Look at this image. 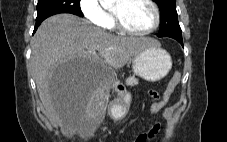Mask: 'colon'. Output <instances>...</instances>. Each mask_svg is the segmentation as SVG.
I'll return each mask as SVG.
<instances>
[{
  "label": "colon",
  "instance_id": "5ec220e1",
  "mask_svg": "<svg viewBox=\"0 0 227 142\" xmlns=\"http://www.w3.org/2000/svg\"><path fill=\"white\" fill-rule=\"evenodd\" d=\"M179 81H180V75L175 74L172 77V79L169 81L163 95L158 100H155L154 103L150 106L149 111H148L149 116H154L155 114H157L161 110V108L164 106V104L171 97V95H172L176 85L179 83ZM143 133H144L143 131L136 132V133L132 134L131 136L127 137L122 142H137V139Z\"/></svg>",
  "mask_w": 227,
  "mask_h": 142
}]
</instances>
